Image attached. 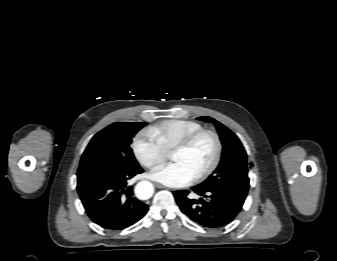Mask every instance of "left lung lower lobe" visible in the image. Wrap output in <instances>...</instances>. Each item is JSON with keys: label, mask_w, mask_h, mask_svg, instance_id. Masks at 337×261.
Returning a JSON list of instances; mask_svg holds the SVG:
<instances>
[{"label": "left lung lower lobe", "mask_w": 337, "mask_h": 261, "mask_svg": "<svg viewBox=\"0 0 337 261\" xmlns=\"http://www.w3.org/2000/svg\"><path fill=\"white\" fill-rule=\"evenodd\" d=\"M191 189L200 196L199 199H189L188 190L175 191L173 194L181 211L202 227H224L241 211L242 205L220 190H203L198 186Z\"/></svg>", "instance_id": "obj_1"}]
</instances>
